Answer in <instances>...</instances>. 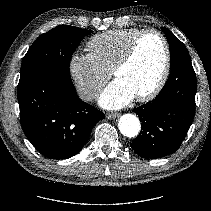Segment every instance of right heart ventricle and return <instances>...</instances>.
Segmentation results:
<instances>
[{"instance_id":"e07e8e85","label":"right heart ventricle","mask_w":211,"mask_h":211,"mask_svg":"<svg viewBox=\"0 0 211 211\" xmlns=\"http://www.w3.org/2000/svg\"><path fill=\"white\" fill-rule=\"evenodd\" d=\"M140 31L139 28L109 30L92 37L87 43V48L98 65L103 70L111 72Z\"/></svg>"}]
</instances>
